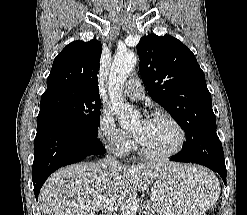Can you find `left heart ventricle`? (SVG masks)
Segmentation results:
<instances>
[{"label":"left heart ventricle","mask_w":247,"mask_h":215,"mask_svg":"<svg viewBox=\"0 0 247 215\" xmlns=\"http://www.w3.org/2000/svg\"><path fill=\"white\" fill-rule=\"evenodd\" d=\"M142 145L150 152L165 153L178 143L179 135L175 127L164 119L139 120L132 129Z\"/></svg>","instance_id":"1"}]
</instances>
